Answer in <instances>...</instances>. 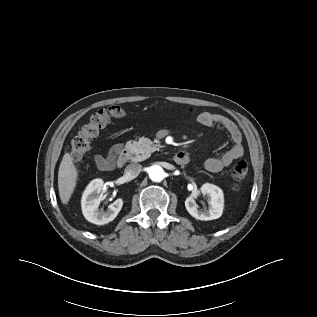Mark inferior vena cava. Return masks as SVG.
Here are the masks:
<instances>
[{"label": "inferior vena cava", "mask_w": 317, "mask_h": 317, "mask_svg": "<svg viewBox=\"0 0 317 317\" xmlns=\"http://www.w3.org/2000/svg\"><path fill=\"white\" fill-rule=\"evenodd\" d=\"M142 169V165L139 163H132L129 164L126 168H125V174L127 177L129 178H135L139 175V173L141 172Z\"/></svg>", "instance_id": "obj_1"}]
</instances>
